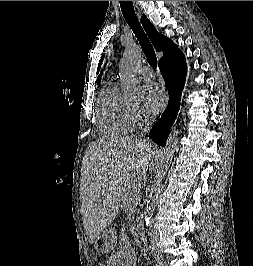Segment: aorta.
I'll use <instances>...</instances> for the list:
<instances>
[{
	"mask_svg": "<svg viewBox=\"0 0 253 266\" xmlns=\"http://www.w3.org/2000/svg\"><path fill=\"white\" fill-rule=\"evenodd\" d=\"M140 59L141 49L137 45L126 47L120 65V72L124 95L128 98H136L141 94V85L133 75L134 68ZM178 136L179 131L174 127L169 134L166 146L164 147L161 158L157 163L155 179L149 190L148 201L141 215L142 227L144 228L145 233L148 234L155 205L177 148Z\"/></svg>",
	"mask_w": 253,
	"mask_h": 266,
	"instance_id": "1",
	"label": "aorta"
}]
</instances>
